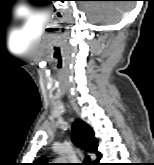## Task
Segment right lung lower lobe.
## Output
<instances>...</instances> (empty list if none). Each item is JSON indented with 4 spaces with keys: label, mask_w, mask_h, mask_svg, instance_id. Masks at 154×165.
<instances>
[{
    "label": "right lung lower lobe",
    "mask_w": 154,
    "mask_h": 165,
    "mask_svg": "<svg viewBox=\"0 0 154 165\" xmlns=\"http://www.w3.org/2000/svg\"><path fill=\"white\" fill-rule=\"evenodd\" d=\"M97 160L96 161H94V163H92V165H101L100 163H99V160H100V158H101V153L99 152L98 154H97Z\"/></svg>",
    "instance_id": "1"
}]
</instances>
